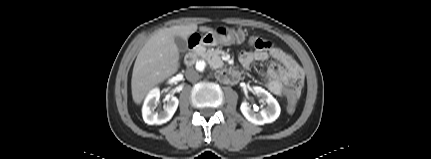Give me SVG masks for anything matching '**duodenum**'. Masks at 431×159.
<instances>
[{
    "mask_svg": "<svg viewBox=\"0 0 431 159\" xmlns=\"http://www.w3.org/2000/svg\"><path fill=\"white\" fill-rule=\"evenodd\" d=\"M204 41L192 40L190 43V51L185 56V64L187 66H191L197 59V55L199 50L203 47ZM238 72L232 69L222 70L220 73V77L225 82H235L238 79Z\"/></svg>",
    "mask_w": 431,
    "mask_h": 159,
    "instance_id": "obj_1",
    "label": "duodenum"
}]
</instances>
